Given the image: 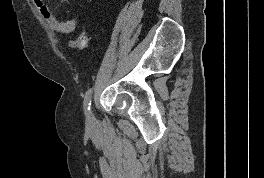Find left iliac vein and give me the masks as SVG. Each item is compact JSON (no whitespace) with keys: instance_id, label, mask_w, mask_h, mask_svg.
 I'll return each mask as SVG.
<instances>
[{"instance_id":"obj_1","label":"left iliac vein","mask_w":264,"mask_h":178,"mask_svg":"<svg viewBox=\"0 0 264 178\" xmlns=\"http://www.w3.org/2000/svg\"><path fill=\"white\" fill-rule=\"evenodd\" d=\"M93 121H94V115H93L92 111H89V112L87 113V122H88L89 124H91Z\"/></svg>"}]
</instances>
